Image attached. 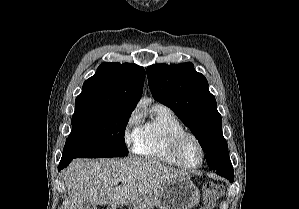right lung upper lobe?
<instances>
[{
  "label": "right lung upper lobe",
  "mask_w": 299,
  "mask_h": 209,
  "mask_svg": "<svg viewBox=\"0 0 299 209\" xmlns=\"http://www.w3.org/2000/svg\"><path fill=\"white\" fill-rule=\"evenodd\" d=\"M145 70L136 64L103 63L87 79L75 108L133 111L144 86Z\"/></svg>",
  "instance_id": "obj_1"
}]
</instances>
